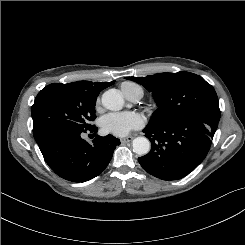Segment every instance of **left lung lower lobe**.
<instances>
[{
  "label": "left lung lower lobe",
  "instance_id": "0a47b994",
  "mask_svg": "<svg viewBox=\"0 0 245 245\" xmlns=\"http://www.w3.org/2000/svg\"><path fill=\"white\" fill-rule=\"evenodd\" d=\"M219 121L188 117L143 132L151 141L150 152L138 161L149 174L162 180H179L193 171L206 157Z\"/></svg>",
  "mask_w": 245,
  "mask_h": 245
}]
</instances>
